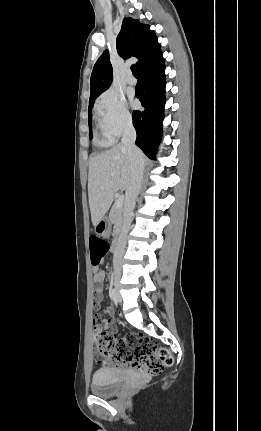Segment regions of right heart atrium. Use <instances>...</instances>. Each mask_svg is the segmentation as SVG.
Instances as JSON below:
<instances>
[{"instance_id":"1","label":"right heart atrium","mask_w":261,"mask_h":431,"mask_svg":"<svg viewBox=\"0 0 261 431\" xmlns=\"http://www.w3.org/2000/svg\"><path fill=\"white\" fill-rule=\"evenodd\" d=\"M95 110L101 128L113 138L119 137L132 125L126 100L115 90L103 92L96 100Z\"/></svg>"}]
</instances>
